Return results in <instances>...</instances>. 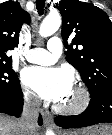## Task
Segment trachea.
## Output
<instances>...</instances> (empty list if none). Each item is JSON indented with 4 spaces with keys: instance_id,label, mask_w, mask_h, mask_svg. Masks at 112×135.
Segmentation results:
<instances>
[{
    "instance_id": "obj_1",
    "label": "trachea",
    "mask_w": 112,
    "mask_h": 135,
    "mask_svg": "<svg viewBox=\"0 0 112 135\" xmlns=\"http://www.w3.org/2000/svg\"><path fill=\"white\" fill-rule=\"evenodd\" d=\"M44 6H45V0H36V8L39 15L43 14Z\"/></svg>"
}]
</instances>
